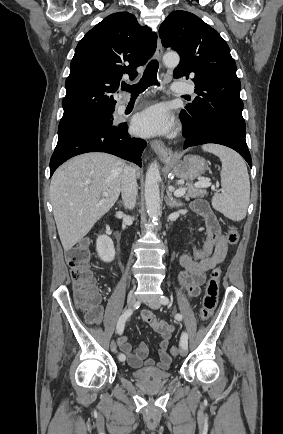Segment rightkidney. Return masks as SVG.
<instances>
[{
    "label": "right kidney",
    "mask_w": 283,
    "mask_h": 434,
    "mask_svg": "<svg viewBox=\"0 0 283 434\" xmlns=\"http://www.w3.org/2000/svg\"><path fill=\"white\" fill-rule=\"evenodd\" d=\"M96 250L99 257L104 262H111L115 258V248L113 241L106 235H101L97 238Z\"/></svg>",
    "instance_id": "obj_1"
}]
</instances>
